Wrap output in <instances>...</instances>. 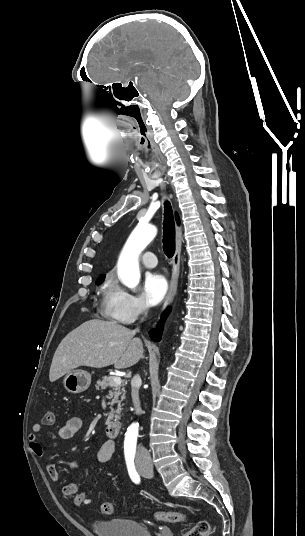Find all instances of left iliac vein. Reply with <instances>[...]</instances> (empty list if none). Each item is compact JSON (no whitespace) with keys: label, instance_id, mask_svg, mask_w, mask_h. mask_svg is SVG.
Segmentation results:
<instances>
[{"label":"left iliac vein","instance_id":"4c4485c4","mask_svg":"<svg viewBox=\"0 0 305 536\" xmlns=\"http://www.w3.org/2000/svg\"><path fill=\"white\" fill-rule=\"evenodd\" d=\"M139 473L144 477H151L152 469L148 468L147 470L139 469Z\"/></svg>","mask_w":305,"mask_h":536}]
</instances>
